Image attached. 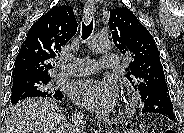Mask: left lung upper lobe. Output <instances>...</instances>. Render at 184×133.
I'll use <instances>...</instances> for the list:
<instances>
[{"label":"left lung upper lobe","mask_w":184,"mask_h":133,"mask_svg":"<svg viewBox=\"0 0 184 133\" xmlns=\"http://www.w3.org/2000/svg\"><path fill=\"white\" fill-rule=\"evenodd\" d=\"M109 28L117 48L132 57L125 71L142 102L153 92H168L158 48L138 18L126 7L113 9L110 11ZM160 99V95L156 96V101Z\"/></svg>","instance_id":"left-lung-upper-lobe-1"}]
</instances>
